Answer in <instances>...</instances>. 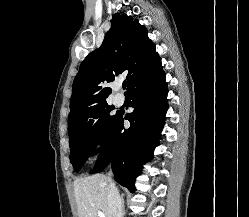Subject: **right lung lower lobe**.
<instances>
[{"label":"right lung lower lobe","instance_id":"right-lung-lower-lobe-1","mask_svg":"<svg viewBox=\"0 0 249 217\" xmlns=\"http://www.w3.org/2000/svg\"><path fill=\"white\" fill-rule=\"evenodd\" d=\"M167 93L165 73L157 54L129 86L128 95L134 111L125 116L120 113L91 174L111 163L115 180L134 191L142 165L152 157L158 145L168 108ZM124 119L129 120L130 128L124 129Z\"/></svg>","mask_w":249,"mask_h":217}]
</instances>
